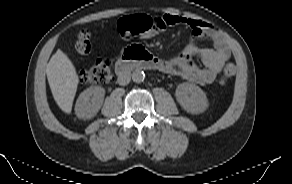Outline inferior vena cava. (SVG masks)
<instances>
[{
  "label": "inferior vena cava",
  "mask_w": 292,
  "mask_h": 184,
  "mask_svg": "<svg viewBox=\"0 0 292 184\" xmlns=\"http://www.w3.org/2000/svg\"><path fill=\"white\" fill-rule=\"evenodd\" d=\"M131 80V73L129 71H124V72H121L119 75H118V79H117V82L119 85H127Z\"/></svg>",
  "instance_id": "inferior-vena-cava-1"
}]
</instances>
